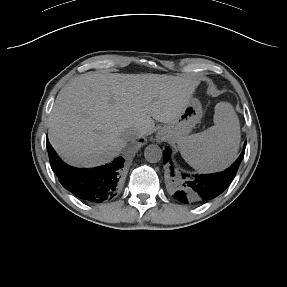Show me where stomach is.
<instances>
[{"label": "stomach", "instance_id": "obj_1", "mask_svg": "<svg viewBox=\"0 0 287 287\" xmlns=\"http://www.w3.org/2000/svg\"><path fill=\"white\" fill-rule=\"evenodd\" d=\"M202 113L201 103L195 98H190L180 116L164 125L157 132V138L178 142L181 138L186 137L192 128L200 122Z\"/></svg>", "mask_w": 287, "mask_h": 287}]
</instances>
